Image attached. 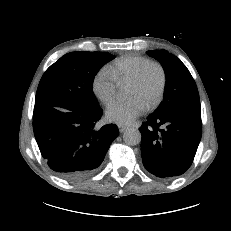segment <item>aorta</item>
<instances>
[{"label": "aorta", "mask_w": 231, "mask_h": 231, "mask_svg": "<svg viewBox=\"0 0 231 231\" xmlns=\"http://www.w3.org/2000/svg\"><path fill=\"white\" fill-rule=\"evenodd\" d=\"M123 140L127 145H137L141 142V133L137 128H128L123 134Z\"/></svg>", "instance_id": "762f6f07"}]
</instances>
